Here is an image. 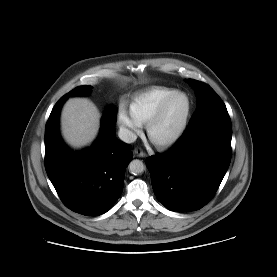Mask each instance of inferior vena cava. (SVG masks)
<instances>
[{
	"instance_id": "602c4592",
	"label": "inferior vena cava",
	"mask_w": 277,
	"mask_h": 277,
	"mask_svg": "<svg viewBox=\"0 0 277 277\" xmlns=\"http://www.w3.org/2000/svg\"><path fill=\"white\" fill-rule=\"evenodd\" d=\"M118 136L125 143H133L137 139L136 134L125 127H120Z\"/></svg>"
}]
</instances>
